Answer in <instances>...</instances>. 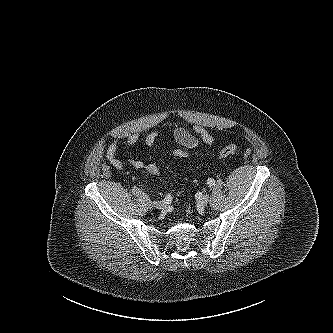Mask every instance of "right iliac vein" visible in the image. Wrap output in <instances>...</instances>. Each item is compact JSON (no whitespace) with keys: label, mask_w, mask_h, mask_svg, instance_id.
Segmentation results:
<instances>
[{"label":"right iliac vein","mask_w":333,"mask_h":333,"mask_svg":"<svg viewBox=\"0 0 333 333\" xmlns=\"http://www.w3.org/2000/svg\"><path fill=\"white\" fill-rule=\"evenodd\" d=\"M153 206L157 209L164 210L167 205L164 201H154Z\"/></svg>","instance_id":"right-iliac-vein-1"}]
</instances>
